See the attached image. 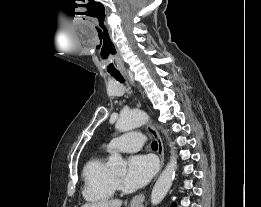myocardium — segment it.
Returning <instances> with one entry per match:
<instances>
[{"label":"myocardium","mask_w":261,"mask_h":207,"mask_svg":"<svg viewBox=\"0 0 261 207\" xmlns=\"http://www.w3.org/2000/svg\"><path fill=\"white\" fill-rule=\"evenodd\" d=\"M113 177H114V180L116 181V183H117V182H120V178L117 177L114 173H113Z\"/></svg>","instance_id":"1"}]
</instances>
